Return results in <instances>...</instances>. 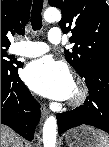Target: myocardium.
I'll use <instances>...</instances> for the list:
<instances>
[{
    "label": "myocardium",
    "mask_w": 109,
    "mask_h": 147,
    "mask_svg": "<svg viewBox=\"0 0 109 147\" xmlns=\"http://www.w3.org/2000/svg\"><path fill=\"white\" fill-rule=\"evenodd\" d=\"M73 83L75 87V93L70 97L69 105L76 108L80 107L86 102L89 96V91L86 83L81 78H75Z\"/></svg>",
    "instance_id": "f54148a6"
}]
</instances>
